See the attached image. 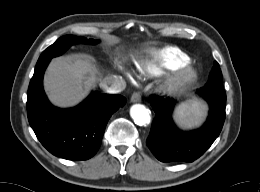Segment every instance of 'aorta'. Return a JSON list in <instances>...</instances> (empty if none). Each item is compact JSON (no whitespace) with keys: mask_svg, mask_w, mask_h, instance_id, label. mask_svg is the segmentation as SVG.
<instances>
[{"mask_svg":"<svg viewBox=\"0 0 260 192\" xmlns=\"http://www.w3.org/2000/svg\"><path fill=\"white\" fill-rule=\"evenodd\" d=\"M130 116L137 125L144 126L150 122V112L142 104H135L130 109Z\"/></svg>","mask_w":260,"mask_h":192,"instance_id":"1","label":"aorta"}]
</instances>
